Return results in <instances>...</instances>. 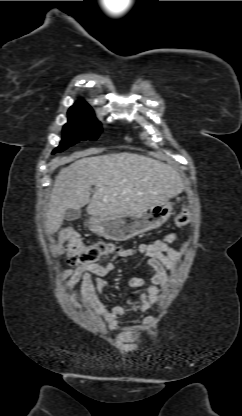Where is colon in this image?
Here are the masks:
<instances>
[{
	"label": "colon",
	"mask_w": 242,
	"mask_h": 416,
	"mask_svg": "<svg viewBox=\"0 0 242 416\" xmlns=\"http://www.w3.org/2000/svg\"><path fill=\"white\" fill-rule=\"evenodd\" d=\"M191 214L188 209H184L174 218L177 227L189 224ZM116 247L112 242L97 241L92 244H86L82 238L72 230H65L60 235V240L56 246V252L67 253L69 262L75 265L95 264L110 256Z\"/></svg>",
	"instance_id": "5ec220e1"
}]
</instances>
